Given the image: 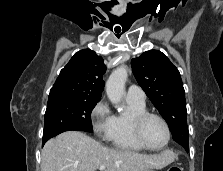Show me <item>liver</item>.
Here are the masks:
<instances>
[{
	"mask_svg": "<svg viewBox=\"0 0 223 171\" xmlns=\"http://www.w3.org/2000/svg\"><path fill=\"white\" fill-rule=\"evenodd\" d=\"M175 155L164 151L146 155L103 146L78 131H68L50 139L42 149L41 171H146L172 163Z\"/></svg>",
	"mask_w": 223,
	"mask_h": 171,
	"instance_id": "6515ba94",
	"label": "liver"
}]
</instances>
